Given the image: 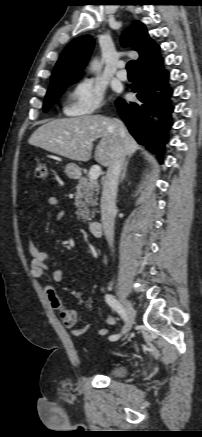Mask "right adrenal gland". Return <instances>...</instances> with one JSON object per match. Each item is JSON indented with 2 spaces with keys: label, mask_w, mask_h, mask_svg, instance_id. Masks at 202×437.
Wrapping results in <instances>:
<instances>
[{
  "label": "right adrenal gland",
  "mask_w": 202,
  "mask_h": 437,
  "mask_svg": "<svg viewBox=\"0 0 202 437\" xmlns=\"http://www.w3.org/2000/svg\"><path fill=\"white\" fill-rule=\"evenodd\" d=\"M128 162H129V158H127V160L125 161V164L123 166V171H122V174H121V182H123V180L125 178Z\"/></svg>",
  "instance_id": "right-adrenal-gland-1"
}]
</instances>
